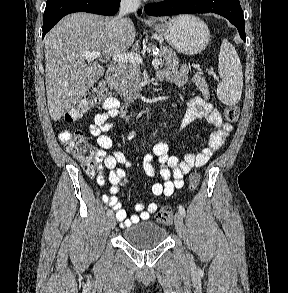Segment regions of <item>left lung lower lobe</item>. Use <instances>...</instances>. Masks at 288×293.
<instances>
[{
    "instance_id": "1",
    "label": "left lung lower lobe",
    "mask_w": 288,
    "mask_h": 293,
    "mask_svg": "<svg viewBox=\"0 0 288 293\" xmlns=\"http://www.w3.org/2000/svg\"><path fill=\"white\" fill-rule=\"evenodd\" d=\"M144 11L151 16H168L182 13H216L227 18L239 31L243 41L245 21L239 0H165L149 4Z\"/></svg>"
}]
</instances>
